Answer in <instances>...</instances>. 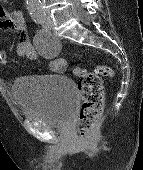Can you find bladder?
Masks as SVG:
<instances>
[{"label": "bladder", "instance_id": "obj_1", "mask_svg": "<svg viewBox=\"0 0 143 170\" xmlns=\"http://www.w3.org/2000/svg\"><path fill=\"white\" fill-rule=\"evenodd\" d=\"M10 90L23 114L52 124L69 121L78 100L74 83L57 74L19 77Z\"/></svg>", "mask_w": 143, "mask_h": 170}]
</instances>
